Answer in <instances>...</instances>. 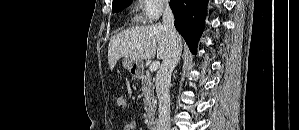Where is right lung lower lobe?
I'll list each match as a JSON object with an SVG mask.
<instances>
[{
  "label": "right lung lower lobe",
  "instance_id": "obj_1",
  "mask_svg": "<svg viewBox=\"0 0 299 130\" xmlns=\"http://www.w3.org/2000/svg\"><path fill=\"white\" fill-rule=\"evenodd\" d=\"M207 2L208 0H171L175 27L194 54L204 30Z\"/></svg>",
  "mask_w": 299,
  "mask_h": 130
}]
</instances>
